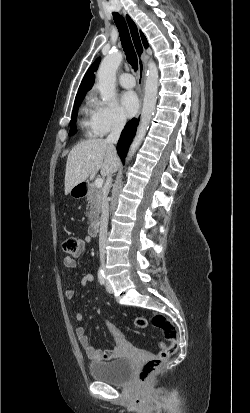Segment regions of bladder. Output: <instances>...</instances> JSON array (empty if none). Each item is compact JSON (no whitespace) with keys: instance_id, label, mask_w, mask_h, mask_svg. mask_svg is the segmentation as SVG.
I'll return each mask as SVG.
<instances>
[{"instance_id":"31cf9c89","label":"bladder","mask_w":250,"mask_h":413,"mask_svg":"<svg viewBox=\"0 0 250 413\" xmlns=\"http://www.w3.org/2000/svg\"><path fill=\"white\" fill-rule=\"evenodd\" d=\"M133 361L129 357H119L111 361L93 362L89 372L93 379L111 385H121L128 381L133 371Z\"/></svg>"}]
</instances>
